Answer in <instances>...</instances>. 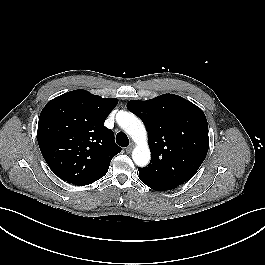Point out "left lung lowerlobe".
Segmentation results:
<instances>
[{
    "instance_id": "left-lung-lower-lobe-1",
    "label": "left lung lower lobe",
    "mask_w": 265,
    "mask_h": 265,
    "mask_svg": "<svg viewBox=\"0 0 265 265\" xmlns=\"http://www.w3.org/2000/svg\"><path fill=\"white\" fill-rule=\"evenodd\" d=\"M139 178H140V180H141L144 184H146L147 186H149L150 188H152V189H154V190H156V191L170 190V189H166V188L160 187V186H158V185L155 184V183L149 182V181L143 179L141 176H139Z\"/></svg>"
}]
</instances>
